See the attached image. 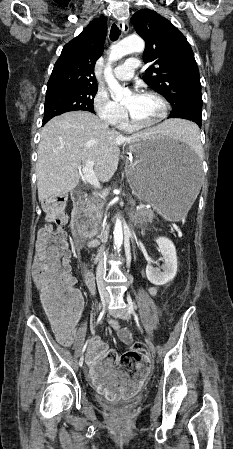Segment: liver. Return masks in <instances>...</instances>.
Instances as JSON below:
<instances>
[{"label": "liver", "instance_id": "1", "mask_svg": "<svg viewBox=\"0 0 233 449\" xmlns=\"http://www.w3.org/2000/svg\"><path fill=\"white\" fill-rule=\"evenodd\" d=\"M180 120L171 119L123 136L110 129L97 116L86 111L64 113L51 119L42 129L36 164L39 201L63 196L79 184L78 169L94 161V173L109 181L117 170L120 146L154 136L169 137L177 133Z\"/></svg>", "mask_w": 233, "mask_h": 449}]
</instances>
